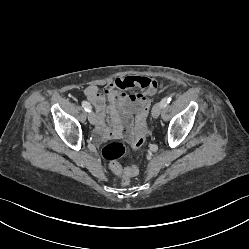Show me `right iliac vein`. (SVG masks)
I'll use <instances>...</instances> for the list:
<instances>
[{
	"mask_svg": "<svg viewBox=\"0 0 249 249\" xmlns=\"http://www.w3.org/2000/svg\"><path fill=\"white\" fill-rule=\"evenodd\" d=\"M88 120L91 124H95L96 123V115L93 111H90L88 113Z\"/></svg>",
	"mask_w": 249,
	"mask_h": 249,
	"instance_id": "63e3f726",
	"label": "right iliac vein"
}]
</instances>
